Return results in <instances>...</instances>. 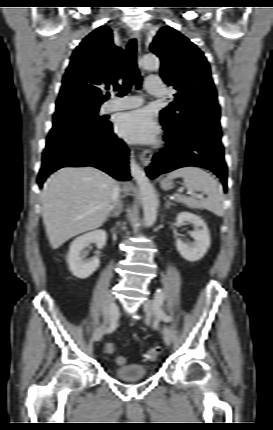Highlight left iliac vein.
Instances as JSON below:
<instances>
[{
  "label": "left iliac vein",
  "mask_w": 273,
  "mask_h": 430,
  "mask_svg": "<svg viewBox=\"0 0 273 430\" xmlns=\"http://www.w3.org/2000/svg\"><path fill=\"white\" fill-rule=\"evenodd\" d=\"M143 309L148 317H155V323L158 322V308L155 305L154 301H152L151 299H147L143 303ZM162 335L166 345H170L172 342V335L170 333V330L166 327H163Z\"/></svg>",
  "instance_id": "obj_1"
}]
</instances>
